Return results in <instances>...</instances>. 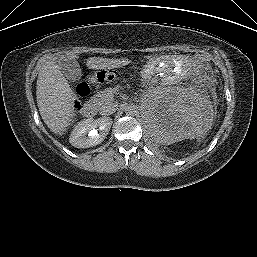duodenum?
<instances>
[{
  "label": "duodenum",
  "mask_w": 257,
  "mask_h": 257,
  "mask_svg": "<svg viewBox=\"0 0 257 257\" xmlns=\"http://www.w3.org/2000/svg\"><path fill=\"white\" fill-rule=\"evenodd\" d=\"M96 111V105L92 101H87L82 108V113L86 117H93L96 114Z\"/></svg>",
  "instance_id": "410a0bca"
}]
</instances>
